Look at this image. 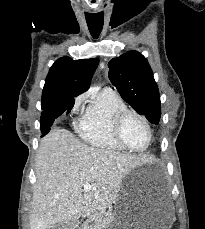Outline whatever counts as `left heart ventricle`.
<instances>
[{
	"mask_svg": "<svg viewBox=\"0 0 205 229\" xmlns=\"http://www.w3.org/2000/svg\"><path fill=\"white\" fill-rule=\"evenodd\" d=\"M123 137L133 148L141 149L148 142V132L144 124L135 117H130L123 128Z\"/></svg>",
	"mask_w": 205,
	"mask_h": 229,
	"instance_id": "obj_1",
	"label": "left heart ventricle"
}]
</instances>
